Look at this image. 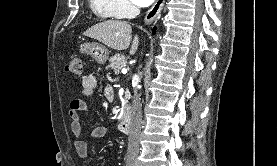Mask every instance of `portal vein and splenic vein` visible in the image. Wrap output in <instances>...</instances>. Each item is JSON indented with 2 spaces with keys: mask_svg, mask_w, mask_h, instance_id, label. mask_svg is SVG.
Here are the masks:
<instances>
[{
  "mask_svg": "<svg viewBox=\"0 0 277 166\" xmlns=\"http://www.w3.org/2000/svg\"><path fill=\"white\" fill-rule=\"evenodd\" d=\"M127 71H126V69H122V73H126Z\"/></svg>",
  "mask_w": 277,
  "mask_h": 166,
  "instance_id": "1",
  "label": "portal vein and splenic vein"
}]
</instances>
